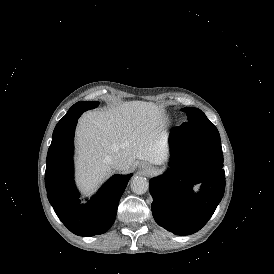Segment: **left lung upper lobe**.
Returning a JSON list of instances; mask_svg holds the SVG:
<instances>
[{
  "label": "left lung upper lobe",
  "mask_w": 274,
  "mask_h": 274,
  "mask_svg": "<svg viewBox=\"0 0 274 274\" xmlns=\"http://www.w3.org/2000/svg\"><path fill=\"white\" fill-rule=\"evenodd\" d=\"M182 111H184L188 117V121L181 125L184 129L200 132H218L217 128L207 119L201 110L187 107L183 108Z\"/></svg>",
  "instance_id": "1"
}]
</instances>
